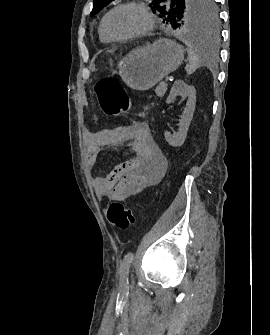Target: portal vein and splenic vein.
I'll list each match as a JSON object with an SVG mask.
<instances>
[{
    "instance_id": "18ae733b",
    "label": "portal vein and splenic vein",
    "mask_w": 270,
    "mask_h": 335,
    "mask_svg": "<svg viewBox=\"0 0 270 335\" xmlns=\"http://www.w3.org/2000/svg\"><path fill=\"white\" fill-rule=\"evenodd\" d=\"M164 79L166 80V82H169L170 76H165Z\"/></svg>"
}]
</instances>
